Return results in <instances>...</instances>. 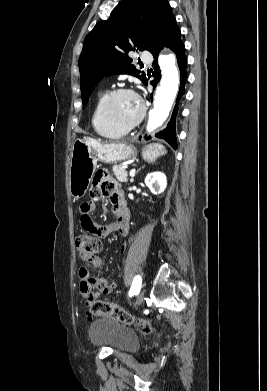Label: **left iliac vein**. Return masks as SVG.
<instances>
[{"instance_id": "left-iliac-vein-1", "label": "left iliac vein", "mask_w": 267, "mask_h": 391, "mask_svg": "<svg viewBox=\"0 0 267 391\" xmlns=\"http://www.w3.org/2000/svg\"><path fill=\"white\" fill-rule=\"evenodd\" d=\"M143 300H144V292L141 291V292L138 294V296L136 297V300H135V303H134L135 306H139L140 304H142Z\"/></svg>"}]
</instances>
